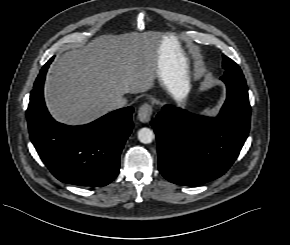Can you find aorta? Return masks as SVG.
I'll return each instance as SVG.
<instances>
[{
	"mask_svg": "<svg viewBox=\"0 0 290 245\" xmlns=\"http://www.w3.org/2000/svg\"><path fill=\"white\" fill-rule=\"evenodd\" d=\"M154 138V132L149 128L144 127L138 131V139L141 143L149 144L154 140Z\"/></svg>",
	"mask_w": 290,
	"mask_h": 245,
	"instance_id": "762f6f07",
	"label": "aorta"
}]
</instances>
